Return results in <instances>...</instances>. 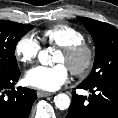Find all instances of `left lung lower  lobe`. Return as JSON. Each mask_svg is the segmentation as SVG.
Masks as SVG:
<instances>
[{
  "instance_id": "0a47b994",
  "label": "left lung lower lobe",
  "mask_w": 118,
  "mask_h": 118,
  "mask_svg": "<svg viewBox=\"0 0 118 118\" xmlns=\"http://www.w3.org/2000/svg\"><path fill=\"white\" fill-rule=\"evenodd\" d=\"M78 88L92 94L87 98L72 92V102L65 118H118V79L92 86L81 83Z\"/></svg>"
}]
</instances>
